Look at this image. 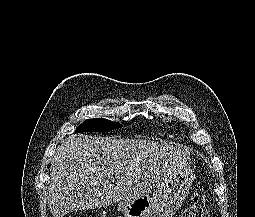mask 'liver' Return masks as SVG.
<instances>
[{
  "instance_id": "obj_1",
  "label": "liver",
  "mask_w": 255,
  "mask_h": 217,
  "mask_svg": "<svg viewBox=\"0 0 255 217\" xmlns=\"http://www.w3.org/2000/svg\"><path fill=\"white\" fill-rule=\"evenodd\" d=\"M186 147L147 140L71 135L51 160L48 206L53 217L147 195L188 165ZM115 175L116 185L109 183Z\"/></svg>"
}]
</instances>
